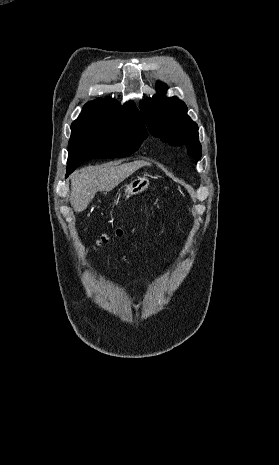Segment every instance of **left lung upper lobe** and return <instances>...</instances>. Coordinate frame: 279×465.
<instances>
[{
    "instance_id": "obj_1",
    "label": "left lung upper lobe",
    "mask_w": 279,
    "mask_h": 465,
    "mask_svg": "<svg viewBox=\"0 0 279 465\" xmlns=\"http://www.w3.org/2000/svg\"><path fill=\"white\" fill-rule=\"evenodd\" d=\"M167 86L158 82V94L141 102L144 121L155 137L170 145H186L187 152L200 160L202 150L198 138V127L187 115V107L177 97L167 98Z\"/></svg>"
}]
</instances>
